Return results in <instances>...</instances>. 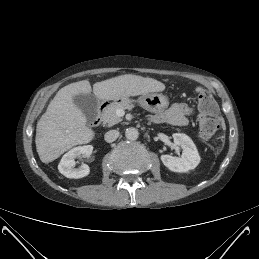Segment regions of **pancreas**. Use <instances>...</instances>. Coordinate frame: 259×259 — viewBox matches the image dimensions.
Segmentation results:
<instances>
[{
    "label": "pancreas",
    "instance_id": "pancreas-1",
    "mask_svg": "<svg viewBox=\"0 0 259 259\" xmlns=\"http://www.w3.org/2000/svg\"><path fill=\"white\" fill-rule=\"evenodd\" d=\"M133 107L134 105L129 103L111 105L101 114V119L103 121V124H106L110 127L121 122L122 118L116 114L117 110L119 109L131 110Z\"/></svg>",
    "mask_w": 259,
    "mask_h": 259
}]
</instances>
